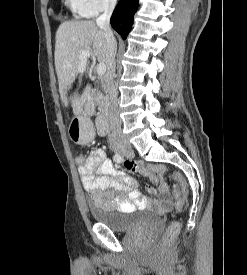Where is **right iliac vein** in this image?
Instances as JSON below:
<instances>
[{
  "label": "right iliac vein",
  "instance_id": "63e3f726",
  "mask_svg": "<svg viewBox=\"0 0 247 275\" xmlns=\"http://www.w3.org/2000/svg\"><path fill=\"white\" fill-rule=\"evenodd\" d=\"M116 151L119 152V153H123L125 151V148L124 147H118V148H116Z\"/></svg>",
  "mask_w": 247,
  "mask_h": 275
}]
</instances>
